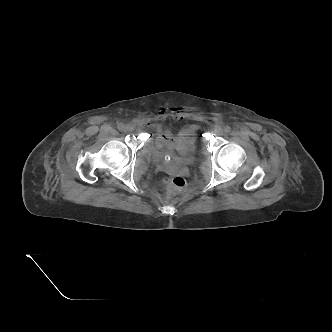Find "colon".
<instances>
[{"label":"colon","mask_w":332,"mask_h":332,"mask_svg":"<svg viewBox=\"0 0 332 332\" xmlns=\"http://www.w3.org/2000/svg\"><path fill=\"white\" fill-rule=\"evenodd\" d=\"M165 189L170 193H177L184 189L186 181L180 176H168L162 180Z\"/></svg>","instance_id":"colon-1"}]
</instances>
